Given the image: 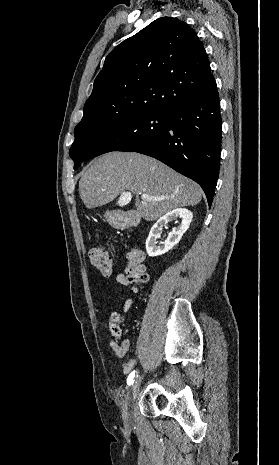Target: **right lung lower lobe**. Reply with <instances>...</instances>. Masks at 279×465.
Wrapping results in <instances>:
<instances>
[{
  "label": "right lung lower lobe",
  "instance_id": "98d812e1",
  "mask_svg": "<svg viewBox=\"0 0 279 465\" xmlns=\"http://www.w3.org/2000/svg\"><path fill=\"white\" fill-rule=\"evenodd\" d=\"M165 130L146 145L130 146L196 181L212 204L220 168L222 122L215 80L201 96L167 111Z\"/></svg>",
  "mask_w": 279,
  "mask_h": 465
}]
</instances>
